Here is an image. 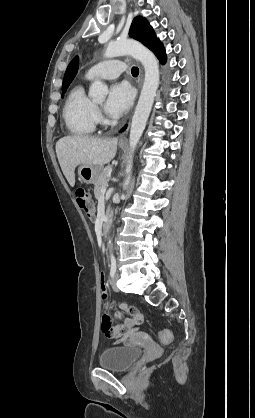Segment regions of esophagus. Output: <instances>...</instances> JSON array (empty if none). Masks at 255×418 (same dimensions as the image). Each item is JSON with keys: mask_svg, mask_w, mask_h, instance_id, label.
<instances>
[{"mask_svg": "<svg viewBox=\"0 0 255 418\" xmlns=\"http://www.w3.org/2000/svg\"><path fill=\"white\" fill-rule=\"evenodd\" d=\"M142 78H143V73H142V71L140 72V86H141V84H142ZM126 141H127V138H126V133L124 132V133H122L120 136H119V143L120 144H123V143H126Z\"/></svg>", "mask_w": 255, "mask_h": 418, "instance_id": "1", "label": "esophagus"}]
</instances>
